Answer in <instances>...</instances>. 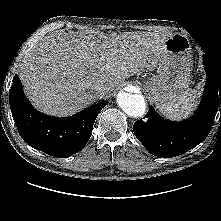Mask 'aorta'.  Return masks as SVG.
I'll use <instances>...</instances> for the list:
<instances>
[{
    "label": "aorta",
    "instance_id": "aorta-1",
    "mask_svg": "<svg viewBox=\"0 0 221 221\" xmlns=\"http://www.w3.org/2000/svg\"><path fill=\"white\" fill-rule=\"evenodd\" d=\"M117 103L128 116L137 118L145 114V99L140 94H130L123 91L119 92L117 95Z\"/></svg>",
    "mask_w": 221,
    "mask_h": 221
}]
</instances>
